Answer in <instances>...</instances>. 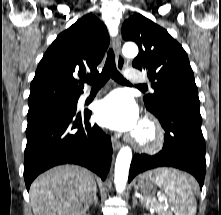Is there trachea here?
Segmentation results:
<instances>
[{"mask_svg": "<svg viewBox=\"0 0 221 215\" xmlns=\"http://www.w3.org/2000/svg\"><path fill=\"white\" fill-rule=\"evenodd\" d=\"M109 78L122 84H130L124 77L118 72L115 65V56L112 49H109L108 56L105 62V66L102 72L92 79H88L86 82L93 86V88L102 87ZM140 88H145L144 85H138Z\"/></svg>", "mask_w": 221, "mask_h": 215, "instance_id": "3493384b", "label": "trachea"}]
</instances>
